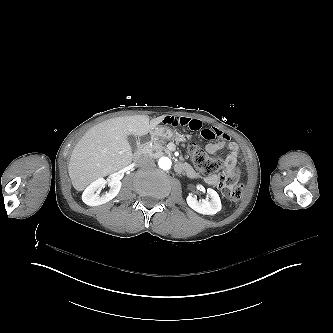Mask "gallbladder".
I'll use <instances>...</instances> for the list:
<instances>
[{"label":"gallbladder","mask_w":333,"mask_h":333,"mask_svg":"<svg viewBox=\"0 0 333 333\" xmlns=\"http://www.w3.org/2000/svg\"><path fill=\"white\" fill-rule=\"evenodd\" d=\"M127 139L132 150H137V138L134 135H129Z\"/></svg>","instance_id":"gallbladder-1"}]
</instances>
